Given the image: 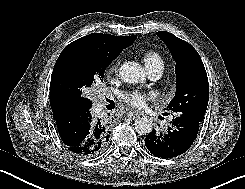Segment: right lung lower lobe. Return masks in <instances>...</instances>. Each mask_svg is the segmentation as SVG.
Wrapping results in <instances>:
<instances>
[{
    "instance_id": "obj_1",
    "label": "right lung lower lobe",
    "mask_w": 245,
    "mask_h": 189,
    "mask_svg": "<svg viewBox=\"0 0 245 189\" xmlns=\"http://www.w3.org/2000/svg\"><path fill=\"white\" fill-rule=\"evenodd\" d=\"M91 106L68 111L54 118L64 144L81 156L100 152L111 133L112 121L94 119L90 113Z\"/></svg>"
}]
</instances>
